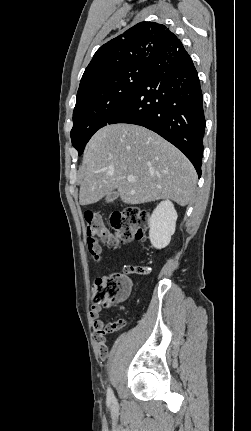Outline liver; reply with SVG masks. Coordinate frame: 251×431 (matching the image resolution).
<instances>
[{"instance_id": "liver-1", "label": "liver", "mask_w": 251, "mask_h": 431, "mask_svg": "<svg viewBox=\"0 0 251 431\" xmlns=\"http://www.w3.org/2000/svg\"><path fill=\"white\" fill-rule=\"evenodd\" d=\"M82 206L117 190L125 204L171 199L186 206L197 174L176 147L144 127L117 123L98 130L86 146L80 168ZM128 176L135 181L129 182Z\"/></svg>"}]
</instances>
